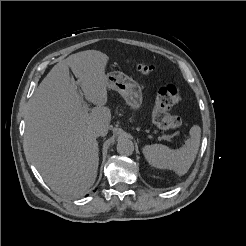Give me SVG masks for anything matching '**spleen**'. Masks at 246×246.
<instances>
[{
  "label": "spleen",
  "instance_id": "3e777b00",
  "mask_svg": "<svg viewBox=\"0 0 246 246\" xmlns=\"http://www.w3.org/2000/svg\"><path fill=\"white\" fill-rule=\"evenodd\" d=\"M190 137L185 144L172 150L162 144L146 145L143 154L150 165L159 169L174 170L179 176L184 175L193 164L200 146L201 128L193 125Z\"/></svg>",
  "mask_w": 246,
  "mask_h": 246
}]
</instances>
